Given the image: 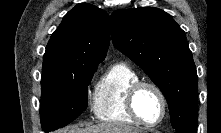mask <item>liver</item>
I'll list each match as a JSON object with an SVG mask.
<instances>
[{
    "label": "liver",
    "mask_w": 221,
    "mask_h": 133,
    "mask_svg": "<svg viewBox=\"0 0 221 133\" xmlns=\"http://www.w3.org/2000/svg\"><path fill=\"white\" fill-rule=\"evenodd\" d=\"M57 133H142L141 130L129 125L120 123L104 122L91 127L79 128H65L58 130Z\"/></svg>",
    "instance_id": "obj_1"
}]
</instances>
